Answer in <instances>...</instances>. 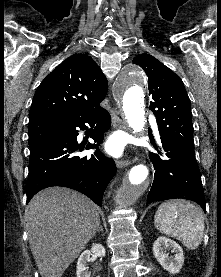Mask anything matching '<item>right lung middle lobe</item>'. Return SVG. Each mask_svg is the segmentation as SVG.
Masks as SVG:
<instances>
[{
  "instance_id": "1",
  "label": "right lung middle lobe",
  "mask_w": 221,
  "mask_h": 277,
  "mask_svg": "<svg viewBox=\"0 0 221 277\" xmlns=\"http://www.w3.org/2000/svg\"><path fill=\"white\" fill-rule=\"evenodd\" d=\"M53 133V127L49 122L28 125L29 147H33L45 140Z\"/></svg>"
}]
</instances>
